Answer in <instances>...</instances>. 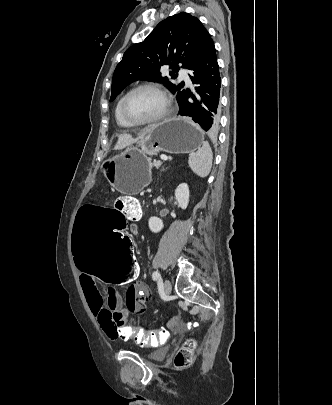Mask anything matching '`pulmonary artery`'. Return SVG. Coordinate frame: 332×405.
I'll use <instances>...</instances> for the list:
<instances>
[{"mask_svg": "<svg viewBox=\"0 0 332 405\" xmlns=\"http://www.w3.org/2000/svg\"><path fill=\"white\" fill-rule=\"evenodd\" d=\"M179 77L184 80L185 82H187L188 84H190V78L187 74V72L185 70H180L179 71Z\"/></svg>", "mask_w": 332, "mask_h": 405, "instance_id": "pulmonary-artery-1", "label": "pulmonary artery"}]
</instances>
